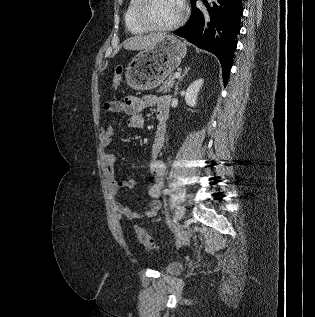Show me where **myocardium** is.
I'll return each mask as SVG.
<instances>
[{
	"label": "myocardium",
	"mask_w": 315,
	"mask_h": 317,
	"mask_svg": "<svg viewBox=\"0 0 315 317\" xmlns=\"http://www.w3.org/2000/svg\"><path fill=\"white\" fill-rule=\"evenodd\" d=\"M150 2L151 0H139V4L137 5V8H136V20L138 24L144 29L149 31H159V32L171 31L180 27L184 23L186 18V12L183 6H181V14L175 22L169 25H163V26L155 25L151 23L146 17V10Z\"/></svg>",
	"instance_id": "obj_1"
}]
</instances>
